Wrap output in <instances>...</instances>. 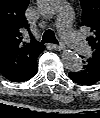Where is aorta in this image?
I'll return each mask as SVG.
<instances>
[{"instance_id": "obj_1", "label": "aorta", "mask_w": 100, "mask_h": 118, "mask_svg": "<svg viewBox=\"0 0 100 118\" xmlns=\"http://www.w3.org/2000/svg\"><path fill=\"white\" fill-rule=\"evenodd\" d=\"M61 6V0H37L39 12L46 16L55 15ZM61 60L66 69L72 72L82 70L83 63L81 58L71 50H65L61 54Z\"/></svg>"}]
</instances>
